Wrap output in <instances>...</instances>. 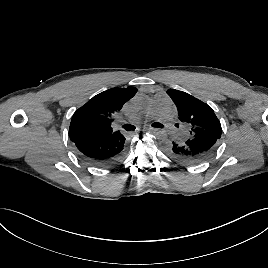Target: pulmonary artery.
Here are the masks:
<instances>
[{
	"mask_svg": "<svg viewBox=\"0 0 268 268\" xmlns=\"http://www.w3.org/2000/svg\"><path fill=\"white\" fill-rule=\"evenodd\" d=\"M148 119H158L166 125H171L173 116L170 111V101L166 95H156L152 101V104L139 114L134 121H142ZM186 134V132H183Z\"/></svg>",
	"mask_w": 268,
	"mask_h": 268,
	"instance_id": "e3ab8cb5",
	"label": "pulmonary artery"
}]
</instances>
